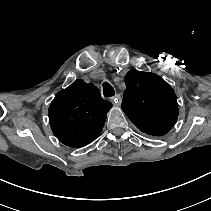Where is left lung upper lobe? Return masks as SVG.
I'll return each instance as SVG.
<instances>
[{"label": "left lung upper lobe", "mask_w": 211, "mask_h": 211, "mask_svg": "<svg viewBox=\"0 0 211 211\" xmlns=\"http://www.w3.org/2000/svg\"><path fill=\"white\" fill-rule=\"evenodd\" d=\"M122 110L142 132L162 136L175 125L179 110L172 87L154 73L129 71Z\"/></svg>", "instance_id": "5c2ea615"}]
</instances>
